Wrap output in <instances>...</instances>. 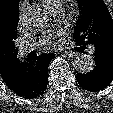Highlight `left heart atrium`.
<instances>
[{
    "mask_svg": "<svg viewBox=\"0 0 113 113\" xmlns=\"http://www.w3.org/2000/svg\"><path fill=\"white\" fill-rule=\"evenodd\" d=\"M61 34L62 30H57L45 35V37L43 38L44 44L48 46L55 45L56 44L55 39L58 38Z\"/></svg>",
    "mask_w": 113,
    "mask_h": 113,
    "instance_id": "39dd6f15",
    "label": "left heart atrium"
}]
</instances>
